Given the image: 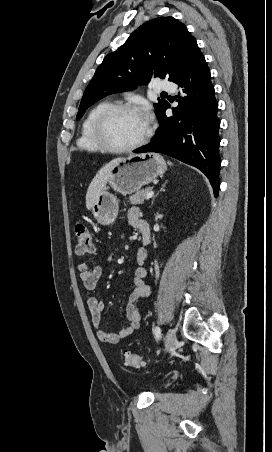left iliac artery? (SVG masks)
<instances>
[{
    "mask_svg": "<svg viewBox=\"0 0 272 452\" xmlns=\"http://www.w3.org/2000/svg\"><path fill=\"white\" fill-rule=\"evenodd\" d=\"M154 334H155V336L159 339L160 337H161V330H160V327H156L155 329H154Z\"/></svg>",
    "mask_w": 272,
    "mask_h": 452,
    "instance_id": "44dca946",
    "label": "left iliac artery"
}]
</instances>
